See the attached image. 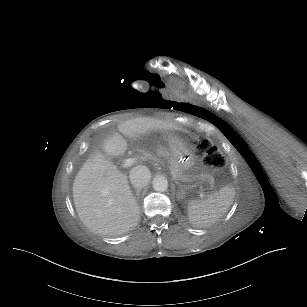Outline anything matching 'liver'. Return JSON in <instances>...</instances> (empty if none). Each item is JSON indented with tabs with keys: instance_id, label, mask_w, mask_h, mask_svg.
<instances>
[{
	"instance_id": "obj_1",
	"label": "liver",
	"mask_w": 307,
	"mask_h": 307,
	"mask_svg": "<svg viewBox=\"0 0 307 307\" xmlns=\"http://www.w3.org/2000/svg\"><path fill=\"white\" fill-rule=\"evenodd\" d=\"M118 132L107 140L106 150L115 156L124 155L127 141L156 130H180L171 120L138 117L121 122ZM73 200L83 224L100 235H119L136 227L139 206L130 189L127 176L101 155L88 158L73 183Z\"/></svg>"
}]
</instances>
